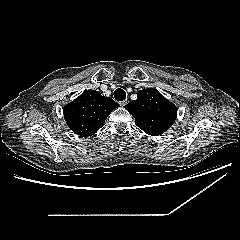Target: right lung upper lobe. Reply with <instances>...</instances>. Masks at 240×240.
<instances>
[{
    "mask_svg": "<svg viewBox=\"0 0 240 240\" xmlns=\"http://www.w3.org/2000/svg\"><path fill=\"white\" fill-rule=\"evenodd\" d=\"M119 104L111 97L102 96L95 90H86L64 107V118L69 128L80 136H91L102 126L105 119Z\"/></svg>",
    "mask_w": 240,
    "mask_h": 240,
    "instance_id": "cb5924a9",
    "label": "right lung upper lobe"
}]
</instances>
